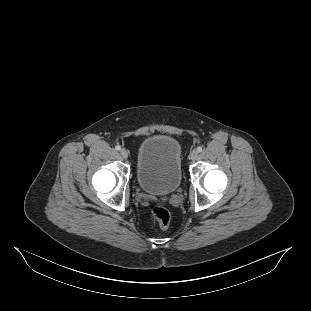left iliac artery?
<instances>
[{
	"label": "left iliac artery",
	"mask_w": 311,
	"mask_h": 311,
	"mask_svg": "<svg viewBox=\"0 0 311 311\" xmlns=\"http://www.w3.org/2000/svg\"><path fill=\"white\" fill-rule=\"evenodd\" d=\"M197 151H198V152H201V151H202V147L199 146V147L197 148Z\"/></svg>",
	"instance_id": "44dca946"
}]
</instances>
